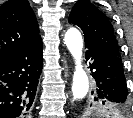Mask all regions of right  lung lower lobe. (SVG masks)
<instances>
[{
    "label": "right lung lower lobe",
    "instance_id": "right-lung-lower-lobe-1",
    "mask_svg": "<svg viewBox=\"0 0 133 118\" xmlns=\"http://www.w3.org/2000/svg\"><path fill=\"white\" fill-rule=\"evenodd\" d=\"M42 71V41L0 62V118H26Z\"/></svg>",
    "mask_w": 133,
    "mask_h": 118
}]
</instances>
